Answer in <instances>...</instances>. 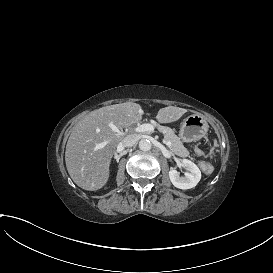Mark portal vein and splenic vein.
Listing matches in <instances>:
<instances>
[{
	"label": "portal vein and splenic vein",
	"mask_w": 273,
	"mask_h": 273,
	"mask_svg": "<svg viewBox=\"0 0 273 273\" xmlns=\"http://www.w3.org/2000/svg\"><path fill=\"white\" fill-rule=\"evenodd\" d=\"M111 127V129L117 133V135H123V133L114 125V124H110L109 125ZM136 131L137 132H153L154 131V126L152 124H149V123H145V124H142L140 126H138L136 128ZM162 142L165 144V145H171L172 144V141L171 140H167L166 138H163L162 139ZM107 141H104L100 144H97L96 145V149H101L103 147H105L107 145Z\"/></svg>",
	"instance_id": "obj_1"
}]
</instances>
